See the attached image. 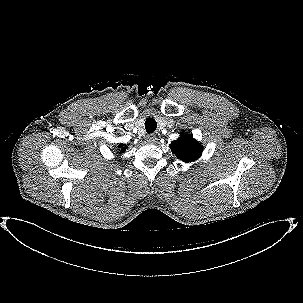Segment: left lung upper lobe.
<instances>
[{
    "label": "left lung upper lobe",
    "mask_w": 303,
    "mask_h": 303,
    "mask_svg": "<svg viewBox=\"0 0 303 303\" xmlns=\"http://www.w3.org/2000/svg\"><path fill=\"white\" fill-rule=\"evenodd\" d=\"M172 153L183 162L197 160L202 154L201 145L193 138V135L183 133L177 140L170 144Z\"/></svg>",
    "instance_id": "obj_1"
}]
</instances>
